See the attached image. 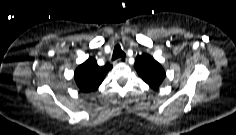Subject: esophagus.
I'll use <instances>...</instances> for the list:
<instances>
[{
	"label": "esophagus",
	"instance_id": "34e87169",
	"mask_svg": "<svg viewBox=\"0 0 236 135\" xmlns=\"http://www.w3.org/2000/svg\"><path fill=\"white\" fill-rule=\"evenodd\" d=\"M127 62V58L125 57H121V58H118L115 63H126Z\"/></svg>",
	"mask_w": 236,
	"mask_h": 135
}]
</instances>
